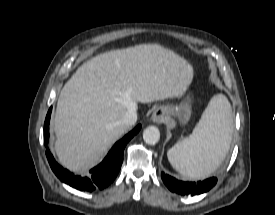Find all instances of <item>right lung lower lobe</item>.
<instances>
[{"label": "right lung lower lobe", "mask_w": 275, "mask_h": 215, "mask_svg": "<svg viewBox=\"0 0 275 215\" xmlns=\"http://www.w3.org/2000/svg\"><path fill=\"white\" fill-rule=\"evenodd\" d=\"M51 115V108L47 113L44 123V143L47 144L49 141V121ZM141 128V125L136 126L131 132L125 135L119 140L109 151L106 158L95 168L90 171L89 176L74 175L67 169L61 167L53 158L49 149H46V156L48 162L56 174V176L64 183L69 184L73 188L81 191H94L101 190L107 187L116 178L122 162H123V151L126 144L131 138L136 135Z\"/></svg>", "instance_id": "98d812e1"}]
</instances>
